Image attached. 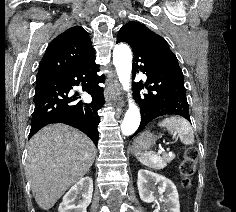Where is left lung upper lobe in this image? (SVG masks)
I'll list each match as a JSON object with an SVG mask.
<instances>
[{
  "label": "left lung upper lobe",
  "instance_id": "5c2ea615",
  "mask_svg": "<svg viewBox=\"0 0 236 212\" xmlns=\"http://www.w3.org/2000/svg\"><path fill=\"white\" fill-rule=\"evenodd\" d=\"M119 35L128 37L139 46H154L170 50L169 45L164 38L138 22H128L125 24L119 30L118 36Z\"/></svg>",
  "mask_w": 236,
  "mask_h": 212
}]
</instances>
